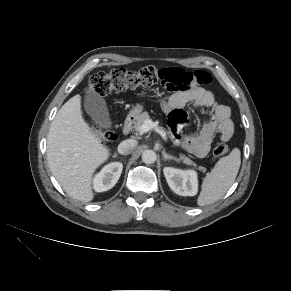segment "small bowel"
<instances>
[{"instance_id": "c3829d8e", "label": "small bowel", "mask_w": 291, "mask_h": 291, "mask_svg": "<svg viewBox=\"0 0 291 291\" xmlns=\"http://www.w3.org/2000/svg\"><path fill=\"white\" fill-rule=\"evenodd\" d=\"M165 73L169 77L178 76L189 79V84L185 88L177 89L163 103L173 137L188 152L197 157H204L208 153L211 143L217 135L222 141L230 140L234 132V124L229 107L218 103L214 95L200 85L203 83H200L196 76L178 68L165 69ZM188 104L195 107H207L210 109V115L197 134L183 135V130L188 122L184 108Z\"/></svg>"}]
</instances>
